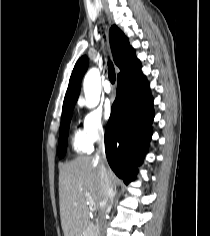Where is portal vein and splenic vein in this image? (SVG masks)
I'll use <instances>...</instances> for the list:
<instances>
[{"instance_id": "1", "label": "portal vein and splenic vein", "mask_w": 210, "mask_h": 236, "mask_svg": "<svg viewBox=\"0 0 210 236\" xmlns=\"http://www.w3.org/2000/svg\"><path fill=\"white\" fill-rule=\"evenodd\" d=\"M89 208H90V210L94 211L95 210V204L94 203H90Z\"/></svg>"}]
</instances>
